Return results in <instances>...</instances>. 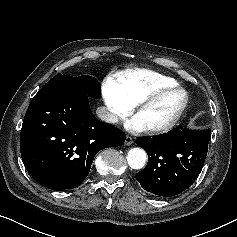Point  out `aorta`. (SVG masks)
I'll list each match as a JSON object with an SVG mask.
<instances>
[{
	"label": "aorta",
	"mask_w": 237,
	"mask_h": 237,
	"mask_svg": "<svg viewBox=\"0 0 237 237\" xmlns=\"http://www.w3.org/2000/svg\"><path fill=\"white\" fill-rule=\"evenodd\" d=\"M147 160L146 152L141 148H132L127 153V162L132 169H141Z\"/></svg>",
	"instance_id": "762f6f07"
}]
</instances>
